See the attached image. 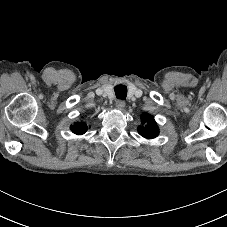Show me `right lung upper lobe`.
Segmentation results:
<instances>
[{"label": "right lung upper lobe", "mask_w": 227, "mask_h": 227, "mask_svg": "<svg viewBox=\"0 0 227 227\" xmlns=\"http://www.w3.org/2000/svg\"><path fill=\"white\" fill-rule=\"evenodd\" d=\"M88 129V126L83 123H75L74 125L71 126V130L75 133V134H84Z\"/></svg>", "instance_id": "cb5924a9"}]
</instances>
